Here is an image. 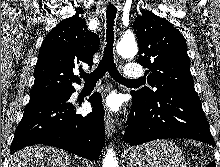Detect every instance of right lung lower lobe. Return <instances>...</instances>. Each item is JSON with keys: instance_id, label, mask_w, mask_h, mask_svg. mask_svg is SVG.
Instances as JSON below:
<instances>
[{"instance_id": "obj_1", "label": "right lung lower lobe", "mask_w": 220, "mask_h": 167, "mask_svg": "<svg viewBox=\"0 0 220 167\" xmlns=\"http://www.w3.org/2000/svg\"><path fill=\"white\" fill-rule=\"evenodd\" d=\"M75 89L30 98L15 131L10 151L44 144L58 147L89 160H98L104 146V116L100 93L88 101L93 111L86 116L75 113L69 102Z\"/></svg>"}]
</instances>
